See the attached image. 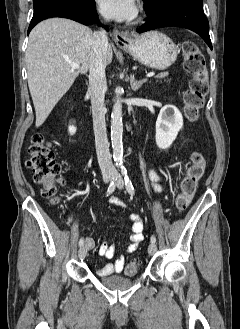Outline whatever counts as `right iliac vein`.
Returning <instances> with one entry per match:
<instances>
[{
    "label": "right iliac vein",
    "mask_w": 240,
    "mask_h": 329,
    "mask_svg": "<svg viewBox=\"0 0 240 329\" xmlns=\"http://www.w3.org/2000/svg\"><path fill=\"white\" fill-rule=\"evenodd\" d=\"M111 180V176H105L104 177V181L107 183ZM78 255H79V258L80 259H84L87 255V248L85 246H82L80 249H79V252H78Z\"/></svg>",
    "instance_id": "obj_1"
}]
</instances>
